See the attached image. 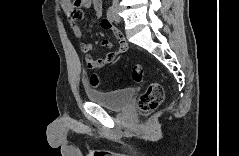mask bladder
Masks as SVG:
<instances>
[{"label":"bladder","mask_w":239,"mask_h":156,"mask_svg":"<svg viewBox=\"0 0 239 156\" xmlns=\"http://www.w3.org/2000/svg\"><path fill=\"white\" fill-rule=\"evenodd\" d=\"M134 94L135 90L133 88L112 91L86 90V95L91 102L110 111L124 110L132 101Z\"/></svg>","instance_id":"31cf9c89"}]
</instances>
